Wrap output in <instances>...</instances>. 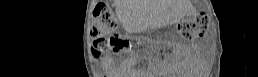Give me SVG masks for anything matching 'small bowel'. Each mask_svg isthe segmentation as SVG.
<instances>
[{"label":"small bowel","instance_id":"obj_1","mask_svg":"<svg viewBox=\"0 0 258 77\" xmlns=\"http://www.w3.org/2000/svg\"><path fill=\"white\" fill-rule=\"evenodd\" d=\"M110 63V62H109ZM134 64V60L128 59L122 62L121 69L128 70L132 69ZM124 73H127L128 71H123Z\"/></svg>","mask_w":258,"mask_h":77}]
</instances>
